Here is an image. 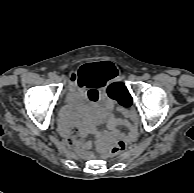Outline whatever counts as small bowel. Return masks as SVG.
Segmentation results:
<instances>
[{
    "mask_svg": "<svg viewBox=\"0 0 194 193\" xmlns=\"http://www.w3.org/2000/svg\"><path fill=\"white\" fill-rule=\"evenodd\" d=\"M116 74L115 66L107 62H99L85 67L78 76V89L74 93L79 98H83L85 103L75 101L62 110L61 132L67 138L68 143L80 152L85 151L82 137L86 130H94L95 120L107 121L112 130H115L116 125L123 121L112 113L114 101L101 92L109 79ZM122 111L126 117L133 114L129 108H123ZM78 115L84 116V127L77 121ZM73 128L75 129L74 135H72Z\"/></svg>",
    "mask_w": 194,
    "mask_h": 193,
    "instance_id": "obj_1",
    "label": "small bowel"
}]
</instances>
